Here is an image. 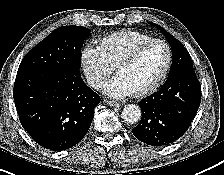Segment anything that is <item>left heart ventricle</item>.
Masks as SVG:
<instances>
[{
    "mask_svg": "<svg viewBox=\"0 0 224 175\" xmlns=\"http://www.w3.org/2000/svg\"><path fill=\"white\" fill-rule=\"evenodd\" d=\"M166 56V49L162 44H152L133 63L121 68L117 74L135 92L149 85L158 76L165 64Z\"/></svg>",
    "mask_w": 224,
    "mask_h": 175,
    "instance_id": "1",
    "label": "left heart ventricle"
}]
</instances>
